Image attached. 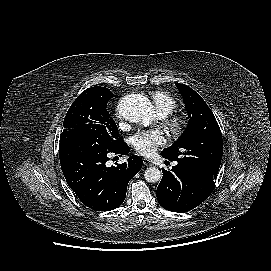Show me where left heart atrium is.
I'll return each mask as SVG.
<instances>
[{
	"label": "left heart atrium",
	"instance_id": "1",
	"mask_svg": "<svg viewBox=\"0 0 271 271\" xmlns=\"http://www.w3.org/2000/svg\"><path fill=\"white\" fill-rule=\"evenodd\" d=\"M163 142L164 136L160 130L141 131L132 139L135 150L143 156L153 155Z\"/></svg>",
	"mask_w": 271,
	"mask_h": 271
}]
</instances>
